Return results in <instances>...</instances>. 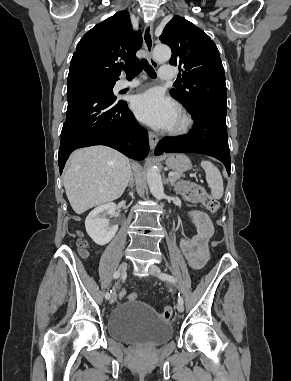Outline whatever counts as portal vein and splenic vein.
<instances>
[{
	"label": "portal vein and splenic vein",
	"mask_w": 291,
	"mask_h": 381,
	"mask_svg": "<svg viewBox=\"0 0 291 381\" xmlns=\"http://www.w3.org/2000/svg\"><path fill=\"white\" fill-rule=\"evenodd\" d=\"M174 176V173H172V172H170L169 174H168V177L169 178H171V177H173Z\"/></svg>",
	"instance_id": "obj_1"
}]
</instances>
